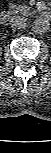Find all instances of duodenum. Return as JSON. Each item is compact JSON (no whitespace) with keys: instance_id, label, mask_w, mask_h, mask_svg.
Returning <instances> with one entry per match:
<instances>
[{"instance_id":"1","label":"duodenum","mask_w":51,"mask_h":153,"mask_svg":"<svg viewBox=\"0 0 51 153\" xmlns=\"http://www.w3.org/2000/svg\"><path fill=\"white\" fill-rule=\"evenodd\" d=\"M11 13L8 10H2L0 12V22L2 24H5L10 17ZM39 16H41L45 20H50L51 19V14L49 11L43 10L39 13Z\"/></svg>"}]
</instances>
